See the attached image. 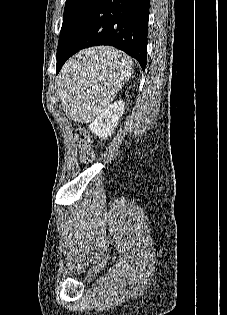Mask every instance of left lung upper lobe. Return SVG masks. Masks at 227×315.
<instances>
[{"instance_id": "obj_1", "label": "left lung upper lobe", "mask_w": 227, "mask_h": 315, "mask_svg": "<svg viewBox=\"0 0 227 315\" xmlns=\"http://www.w3.org/2000/svg\"><path fill=\"white\" fill-rule=\"evenodd\" d=\"M99 0H66L57 53L62 50L77 27L85 20Z\"/></svg>"}]
</instances>
